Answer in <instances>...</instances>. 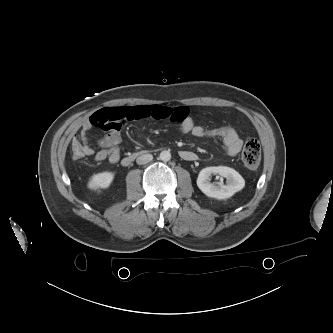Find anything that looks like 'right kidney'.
Listing matches in <instances>:
<instances>
[{
  "label": "right kidney",
  "instance_id": "right-kidney-1",
  "mask_svg": "<svg viewBox=\"0 0 333 333\" xmlns=\"http://www.w3.org/2000/svg\"><path fill=\"white\" fill-rule=\"evenodd\" d=\"M114 179V174L112 172H102L92 176L88 182V187L90 189L97 188H108Z\"/></svg>",
  "mask_w": 333,
  "mask_h": 333
}]
</instances>
